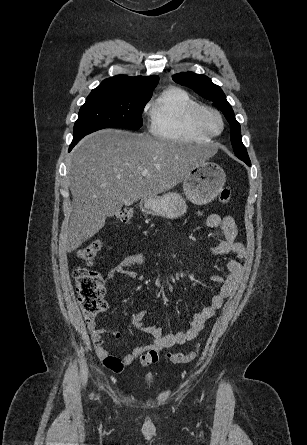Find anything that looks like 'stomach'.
<instances>
[{"label": "stomach", "mask_w": 307, "mask_h": 445, "mask_svg": "<svg viewBox=\"0 0 307 445\" xmlns=\"http://www.w3.org/2000/svg\"><path fill=\"white\" fill-rule=\"evenodd\" d=\"M226 174L216 162H199L183 180L186 198L179 192H165L162 196L142 198L140 208L145 214L178 218L187 210L186 200L193 204H208L221 192Z\"/></svg>", "instance_id": "obj_1"}]
</instances>
